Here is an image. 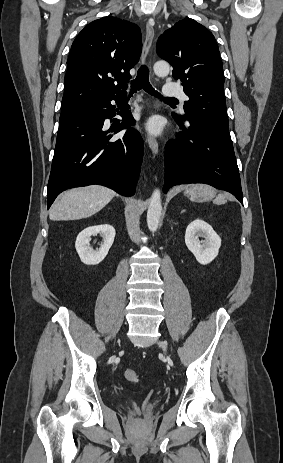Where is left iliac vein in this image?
<instances>
[{
	"mask_svg": "<svg viewBox=\"0 0 283 463\" xmlns=\"http://www.w3.org/2000/svg\"><path fill=\"white\" fill-rule=\"evenodd\" d=\"M158 345L165 351L166 350V344L162 341L158 342Z\"/></svg>",
	"mask_w": 283,
	"mask_h": 463,
	"instance_id": "4c4485c4",
	"label": "left iliac vein"
}]
</instances>
